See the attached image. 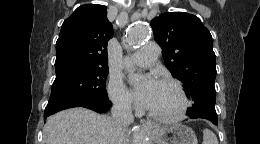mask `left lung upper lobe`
<instances>
[{
  "mask_svg": "<svg viewBox=\"0 0 260 144\" xmlns=\"http://www.w3.org/2000/svg\"><path fill=\"white\" fill-rule=\"evenodd\" d=\"M164 63L172 76L182 81L194 101L191 116L215 111L216 61L212 36L201 20L185 12H166L152 19Z\"/></svg>",
  "mask_w": 260,
  "mask_h": 144,
  "instance_id": "obj_1",
  "label": "left lung upper lobe"
}]
</instances>
